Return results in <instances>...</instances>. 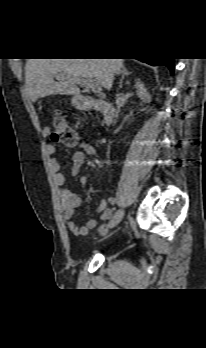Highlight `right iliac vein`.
Returning a JSON list of instances; mask_svg holds the SVG:
<instances>
[{
    "label": "right iliac vein",
    "instance_id": "obj_1",
    "mask_svg": "<svg viewBox=\"0 0 206 348\" xmlns=\"http://www.w3.org/2000/svg\"><path fill=\"white\" fill-rule=\"evenodd\" d=\"M124 210H118L115 215L113 216V218L110 220L109 224H108V228H113L116 225H118L120 223V221L123 219L124 217Z\"/></svg>",
    "mask_w": 206,
    "mask_h": 348
}]
</instances>
